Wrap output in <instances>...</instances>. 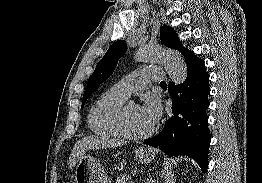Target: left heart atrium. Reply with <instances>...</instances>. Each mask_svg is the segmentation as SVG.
<instances>
[{"label": "left heart atrium", "instance_id": "1", "mask_svg": "<svg viewBox=\"0 0 262 183\" xmlns=\"http://www.w3.org/2000/svg\"><path fill=\"white\" fill-rule=\"evenodd\" d=\"M139 110L142 118L149 127H153L158 122L160 107L153 97L149 95L145 96L142 103L139 105Z\"/></svg>", "mask_w": 262, "mask_h": 183}]
</instances>
